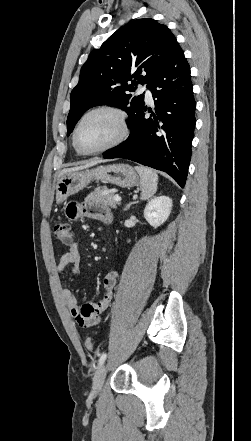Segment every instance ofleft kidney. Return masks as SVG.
I'll list each match as a JSON object with an SVG mask.
<instances>
[{
    "label": "left kidney",
    "mask_w": 251,
    "mask_h": 441,
    "mask_svg": "<svg viewBox=\"0 0 251 441\" xmlns=\"http://www.w3.org/2000/svg\"><path fill=\"white\" fill-rule=\"evenodd\" d=\"M172 209V199L160 196L151 200L144 209V218L153 227H159L169 217Z\"/></svg>",
    "instance_id": "5707ae66"
}]
</instances>
